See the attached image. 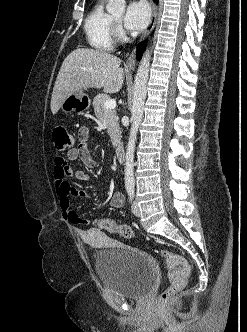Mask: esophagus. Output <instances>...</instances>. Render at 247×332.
I'll list each match as a JSON object with an SVG mask.
<instances>
[{"label":"esophagus","instance_id":"obj_1","mask_svg":"<svg viewBox=\"0 0 247 332\" xmlns=\"http://www.w3.org/2000/svg\"><path fill=\"white\" fill-rule=\"evenodd\" d=\"M151 7H152V15H151L150 23H149V26H148L147 30L141 36L140 41H142L146 36H148V34L153 30V28L155 26V23H156V19H157V7L153 3L152 0H151ZM135 64H136V51L134 49L132 51V53L130 54L129 58L127 59L126 65L131 67V66H134Z\"/></svg>","mask_w":247,"mask_h":332}]
</instances>
